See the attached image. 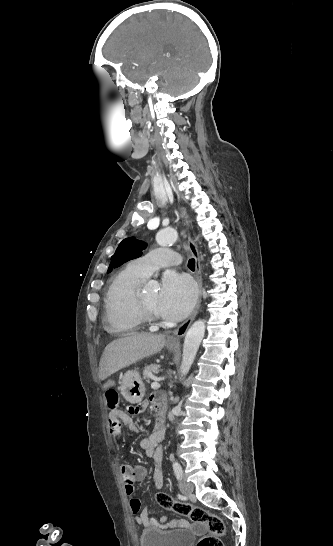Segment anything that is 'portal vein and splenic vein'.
Returning <instances> with one entry per match:
<instances>
[{
    "label": "portal vein and splenic vein",
    "instance_id": "portal-vein-and-splenic-vein-1",
    "mask_svg": "<svg viewBox=\"0 0 333 546\" xmlns=\"http://www.w3.org/2000/svg\"><path fill=\"white\" fill-rule=\"evenodd\" d=\"M160 387V384L156 381L152 382L151 384V388L152 389H158Z\"/></svg>",
    "mask_w": 333,
    "mask_h": 546
}]
</instances>
